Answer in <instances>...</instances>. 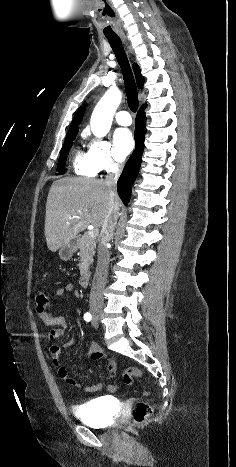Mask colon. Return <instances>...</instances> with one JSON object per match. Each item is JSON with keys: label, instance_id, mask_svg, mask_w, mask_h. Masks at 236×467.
I'll return each instance as SVG.
<instances>
[{"label": "colon", "instance_id": "5ec220e1", "mask_svg": "<svg viewBox=\"0 0 236 467\" xmlns=\"http://www.w3.org/2000/svg\"><path fill=\"white\" fill-rule=\"evenodd\" d=\"M36 308L39 313H45L51 306V298L45 291H37L35 294ZM100 355H94L93 359H100ZM143 372L136 367H129L123 373V382L131 385L135 378L141 377ZM153 413L152 406L147 402H136L132 407V420L134 424H142Z\"/></svg>", "mask_w": 236, "mask_h": 467}]
</instances>
